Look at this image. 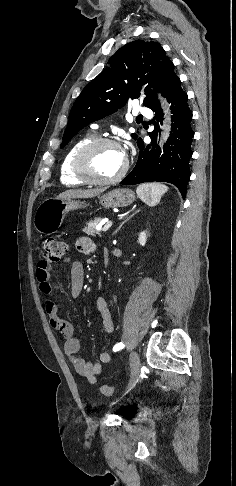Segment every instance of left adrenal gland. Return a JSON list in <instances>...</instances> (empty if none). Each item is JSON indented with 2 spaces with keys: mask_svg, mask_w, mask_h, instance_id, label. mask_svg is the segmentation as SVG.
<instances>
[{
  "mask_svg": "<svg viewBox=\"0 0 236 486\" xmlns=\"http://www.w3.org/2000/svg\"><path fill=\"white\" fill-rule=\"evenodd\" d=\"M140 212V210H136L134 211L129 217H127L121 224L120 226L114 231L113 235H115L121 228L122 226L131 218L133 217L136 213Z\"/></svg>",
  "mask_w": 236,
  "mask_h": 486,
  "instance_id": "1",
  "label": "left adrenal gland"
}]
</instances>
